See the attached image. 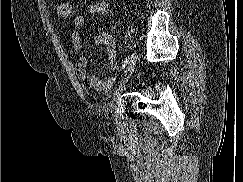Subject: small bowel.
Listing matches in <instances>:
<instances>
[{
    "label": "small bowel",
    "mask_w": 243,
    "mask_h": 182,
    "mask_svg": "<svg viewBox=\"0 0 243 182\" xmlns=\"http://www.w3.org/2000/svg\"><path fill=\"white\" fill-rule=\"evenodd\" d=\"M108 9L109 4L106 0L90 3L86 8L85 13L79 14L75 17L71 35L72 47L77 55L75 63L76 75L86 87L97 91L109 90L114 85L116 79L115 77L98 78L89 73L87 69L88 60L82 51V29L85 24L86 15L104 14L108 11ZM95 43L106 47L108 68L110 71L115 72L117 70V63L116 44L114 38L110 35H101L95 38Z\"/></svg>",
    "instance_id": "c3829d8e"
}]
</instances>
